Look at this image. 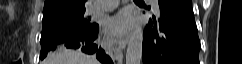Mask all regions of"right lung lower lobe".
Masks as SVG:
<instances>
[{"mask_svg":"<svg viewBox=\"0 0 242 64\" xmlns=\"http://www.w3.org/2000/svg\"><path fill=\"white\" fill-rule=\"evenodd\" d=\"M97 36H98V27L95 31H93L90 34H87L81 37H76V38L70 39L69 41L57 43L50 46L45 51L41 52L40 59L43 60L47 56V53L51 50H55L56 48L66 47V48L75 49V50L80 49L82 52L87 54H96V58L100 62H102L103 64H111L112 63L111 58L108 55H106L105 51L95 43V39L97 38Z\"/></svg>","mask_w":242,"mask_h":64,"instance_id":"98d812e1","label":"right lung lower lobe"}]
</instances>
